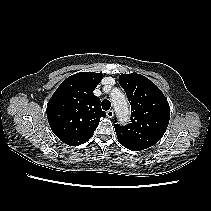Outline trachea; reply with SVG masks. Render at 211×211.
Segmentation results:
<instances>
[{
  "instance_id": "1",
  "label": "trachea",
  "mask_w": 211,
  "mask_h": 211,
  "mask_svg": "<svg viewBox=\"0 0 211 211\" xmlns=\"http://www.w3.org/2000/svg\"><path fill=\"white\" fill-rule=\"evenodd\" d=\"M101 105H102V109L105 110V111H107L111 107V102L109 100H107V99H104L102 101Z\"/></svg>"
}]
</instances>
